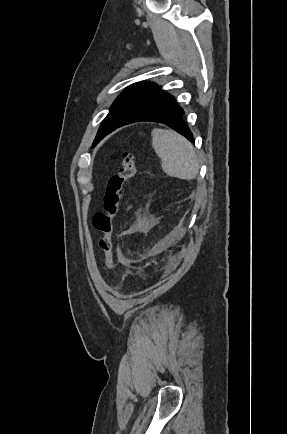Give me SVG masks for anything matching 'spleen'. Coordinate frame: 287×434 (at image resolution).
<instances>
[{
	"label": "spleen",
	"mask_w": 287,
	"mask_h": 434,
	"mask_svg": "<svg viewBox=\"0 0 287 434\" xmlns=\"http://www.w3.org/2000/svg\"><path fill=\"white\" fill-rule=\"evenodd\" d=\"M152 146L161 159L163 171L171 177L192 180L199 172V161L193 145L173 130L155 128Z\"/></svg>",
	"instance_id": "1"
}]
</instances>
